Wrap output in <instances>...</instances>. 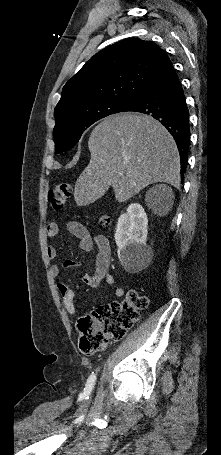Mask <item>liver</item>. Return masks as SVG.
<instances>
[{
    "label": "liver",
    "mask_w": 221,
    "mask_h": 455,
    "mask_svg": "<svg viewBox=\"0 0 221 455\" xmlns=\"http://www.w3.org/2000/svg\"><path fill=\"white\" fill-rule=\"evenodd\" d=\"M88 148L90 162L74 187L78 206L95 202L110 186L122 203L152 183L180 184L176 143L151 116L124 112L106 117L93 129Z\"/></svg>",
    "instance_id": "obj_1"
}]
</instances>
